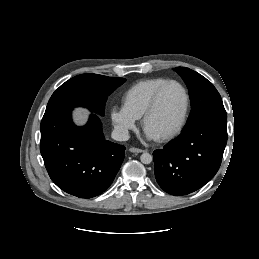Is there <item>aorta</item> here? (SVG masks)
Instances as JSON below:
<instances>
[{"label":"aorta","instance_id":"1","mask_svg":"<svg viewBox=\"0 0 259 259\" xmlns=\"http://www.w3.org/2000/svg\"><path fill=\"white\" fill-rule=\"evenodd\" d=\"M140 160L143 164H150L153 160V157L151 154L149 153H143L141 156H140Z\"/></svg>","mask_w":259,"mask_h":259}]
</instances>
